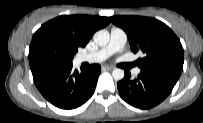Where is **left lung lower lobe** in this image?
Wrapping results in <instances>:
<instances>
[{
	"mask_svg": "<svg viewBox=\"0 0 203 123\" xmlns=\"http://www.w3.org/2000/svg\"><path fill=\"white\" fill-rule=\"evenodd\" d=\"M178 74L168 71L141 70L137 78L131 79L129 71L118 82L121 97L130 105L148 109L162 102L172 91L179 79Z\"/></svg>",
	"mask_w": 203,
	"mask_h": 123,
	"instance_id": "obj_1",
	"label": "left lung lower lobe"
}]
</instances>
